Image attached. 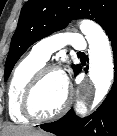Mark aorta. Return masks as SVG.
<instances>
[{"instance_id":"aorta-1","label":"aorta","mask_w":117,"mask_h":136,"mask_svg":"<svg viewBox=\"0 0 117 136\" xmlns=\"http://www.w3.org/2000/svg\"><path fill=\"white\" fill-rule=\"evenodd\" d=\"M80 29L89 44V79L95 87L94 103L98 104L107 95L114 77L110 41L104 30L93 21L82 20ZM87 103L85 94L76 102V113L85 114Z\"/></svg>"}]
</instances>
